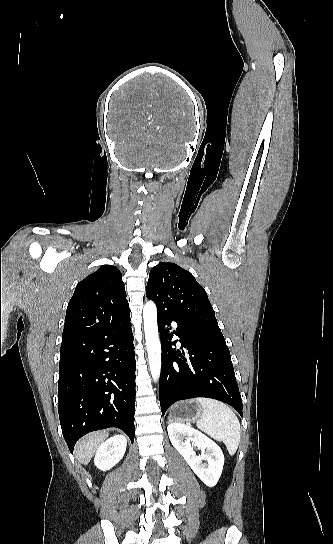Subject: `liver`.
Segmentation results:
<instances>
[{
  "mask_svg": "<svg viewBox=\"0 0 333 544\" xmlns=\"http://www.w3.org/2000/svg\"><path fill=\"white\" fill-rule=\"evenodd\" d=\"M107 436V431H100L83 437L75 447L77 461L87 465Z\"/></svg>",
  "mask_w": 333,
  "mask_h": 544,
  "instance_id": "1",
  "label": "liver"
}]
</instances>
